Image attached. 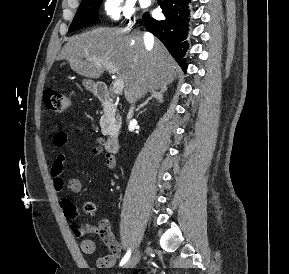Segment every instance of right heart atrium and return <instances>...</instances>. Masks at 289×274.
Segmentation results:
<instances>
[{
	"label": "right heart atrium",
	"instance_id": "1",
	"mask_svg": "<svg viewBox=\"0 0 289 274\" xmlns=\"http://www.w3.org/2000/svg\"><path fill=\"white\" fill-rule=\"evenodd\" d=\"M102 11L112 22L131 24L135 19V6L132 0H103Z\"/></svg>",
	"mask_w": 289,
	"mask_h": 274
}]
</instances>
